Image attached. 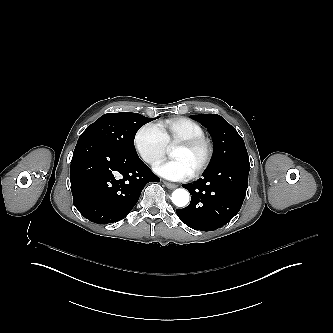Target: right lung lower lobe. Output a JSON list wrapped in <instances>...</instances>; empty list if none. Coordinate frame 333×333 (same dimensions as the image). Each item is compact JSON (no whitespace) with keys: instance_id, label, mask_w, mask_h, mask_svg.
I'll return each instance as SVG.
<instances>
[{"instance_id":"98d812e1","label":"right lung lower lobe","mask_w":333,"mask_h":333,"mask_svg":"<svg viewBox=\"0 0 333 333\" xmlns=\"http://www.w3.org/2000/svg\"><path fill=\"white\" fill-rule=\"evenodd\" d=\"M74 206L97 224L120 221L148 182H159L138 156L121 154L97 140L77 142L71 160Z\"/></svg>"}]
</instances>
